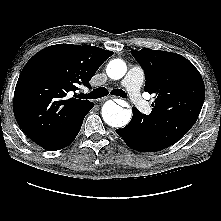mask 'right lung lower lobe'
Returning <instances> with one entry per match:
<instances>
[{"mask_svg":"<svg viewBox=\"0 0 221 221\" xmlns=\"http://www.w3.org/2000/svg\"><path fill=\"white\" fill-rule=\"evenodd\" d=\"M83 119L77 125H75L69 132H67L63 136L59 137L58 139H56V140H54V141H52L42 147L46 150H49V151H56V150H60L62 148L67 147L69 144H71L73 142V140L78 135V133L81 129L82 123H83Z\"/></svg>","mask_w":221,"mask_h":221,"instance_id":"obj_1","label":"right lung lower lobe"}]
</instances>
